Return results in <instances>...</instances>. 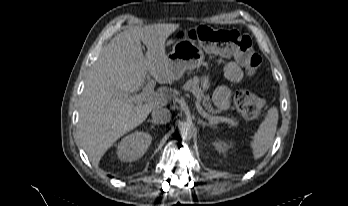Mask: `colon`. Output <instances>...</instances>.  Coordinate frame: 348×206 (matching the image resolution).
Here are the masks:
<instances>
[{"label": "colon", "mask_w": 348, "mask_h": 206, "mask_svg": "<svg viewBox=\"0 0 348 206\" xmlns=\"http://www.w3.org/2000/svg\"><path fill=\"white\" fill-rule=\"evenodd\" d=\"M184 34L203 43L216 54L234 57L252 74L261 64L260 56L253 51L250 37L236 30L198 26ZM234 103L239 114L246 119H258L265 107V99L248 90H239Z\"/></svg>", "instance_id": "obj_1"}]
</instances>
